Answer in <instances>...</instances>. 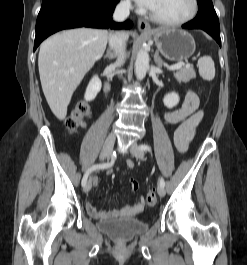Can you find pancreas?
<instances>
[{
  "label": "pancreas",
  "instance_id": "cf45deb5",
  "mask_svg": "<svg viewBox=\"0 0 247 265\" xmlns=\"http://www.w3.org/2000/svg\"><path fill=\"white\" fill-rule=\"evenodd\" d=\"M174 77L179 83H187L191 79L196 78V72L192 66L181 68L179 71L174 73Z\"/></svg>",
  "mask_w": 247,
  "mask_h": 265
}]
</instances>
